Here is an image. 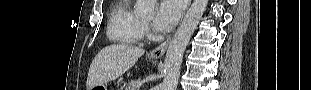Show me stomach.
I'll return each instance as SVG.
<instances>
[{
  "mask_svg": "<svg viewBox=\"0 0 311 90\" xmlns=\"http://www.w3.org/2000/svg\"><path fill=\"white\" fill-rule=\"evenodd\" d=\"M92 90H107V86L105 84L98 85L93 87Z\"/></svg>",
  "mask_w": 311,
  "mask_h": 90,
  "instance_id": "obj_1",
  "label": "stomach"
}]
</instances>
